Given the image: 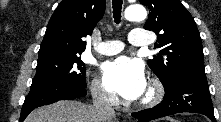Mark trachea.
Wrapping results in <instances>:
<instances>
[{
    "instance_id": "1",
    "label": "trachea",
    "mask_w": 221,
    "mask_h": 122,
    "mask_svg": "<svg viewBox=\"0 0 221 122\" xmlns=\"http://www.w3.org/2000/svg\"><path fill=\"white\" fill-rule=\"evenodd\" d=\"M122 0H113V17L116 24L121 22Z\"/></svg>"
}]
</instances>
